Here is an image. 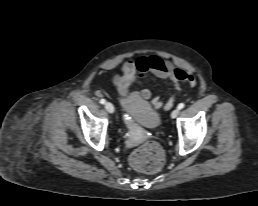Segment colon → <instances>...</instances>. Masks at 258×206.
Segmentation results:
<instances>
[{
    "instance_id": "colon-1",
    "label": "colon",
    "mask_w": 258,
    "mask_h": 206,
    "mask_svg": "<svg viewBox=\"0 0 258 206\" xmlns=\"http://www.w3.org/2000/svg\"><path fill=\"white\" fill-rule=\"evenodd\" d=\"M196 82H190L195 85ZM165 156L161 146L153 141H146L139 146L130 156L131 165L143 172L154 173L161 169Z\"/></svg>"
}]
</instances>
